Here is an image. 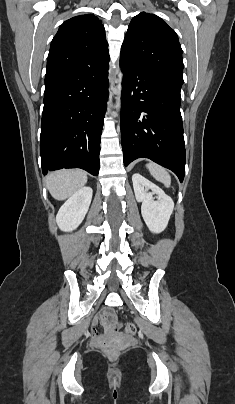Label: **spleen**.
Instances as JSON below:
<instances>
[{
  "label": "spleen",
  "mask_w": 235,
  "mask_h": 404,
  "mask_svg": "<svg viewBox=\"0 0 235 404\" xmlns=\"http://www.w3.org/2000/svg\"><path fill=\"white\" fill-rule=\"evenodd\" d=\"M146 167L148 168L150 174L157 180L163 183L166 187H169L171 184V176L167 172V170L160 165L149 162Z\"/></svg>",
  "instance_id": "1"
}]
</instances>
